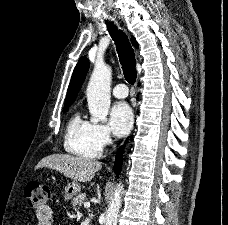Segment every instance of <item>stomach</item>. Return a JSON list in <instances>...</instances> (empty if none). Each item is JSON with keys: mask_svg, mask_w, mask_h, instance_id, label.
<instances>
[{"mask_svg": "<svg viewBox=\"0 0 228 225\" xmlns=\"http://www.w3.org/2000/svg\"><path fill=\"white\" fill-rule=\"evenodd\" d=\"M81 187L77 181H73V183H68L67 187L64 189V199L65 201H69L72 199L74 195H78L80 193Z\"/></svg>", "mask_w": 228, "mask_h": 225, "instance_id": "1", "label": "stomach"}]
</instances>
